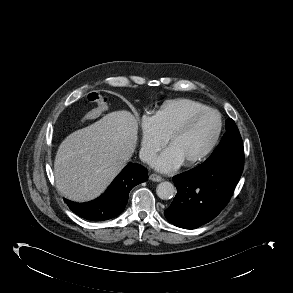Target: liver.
Masks as SVG:
<instances>
[{"label":"liver","mask_w":293,"mask_h":293,"mask_svg":"<svg viewBox=\"0 0 293 293\" xmlns=\"http://www.w3.org/2000/svg\"><path fill=\"white\" fill-rule=\"evenodd\" d=\"M138 123L128 111H114L67 136L54 162L57 189L69 200L98 197L124 168L137 144Z\"/></svg>","instance_id":"liver-1"}]
</instances>
